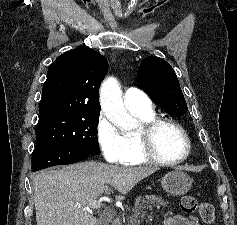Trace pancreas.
I'll use <instances>...</instances> for the list:
<instances>
[{
	"label": "pancreas",
	"mask_w": 237,
	"mask_h": 225,
	"mask_svg": "<svg viewBox=\"0 0 237 225\" xmlns=\"http://www.w3.org/2000/svg\"><path fill=\"white\" fill-rule=\"evenodd\" d=\"M168 202H165L162 197L155 195H147L146 197H138L135 202V209L131 216L126 217L127 225L139 224V219L144 216L142 213L144 209H152V207L160 208L166 206Z\"/></svg>",
	"instance_id": "cf45deb5"
}]
</instances>
